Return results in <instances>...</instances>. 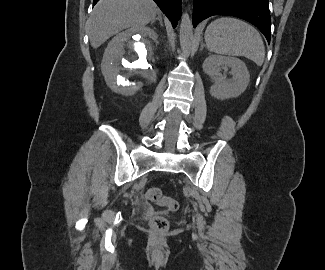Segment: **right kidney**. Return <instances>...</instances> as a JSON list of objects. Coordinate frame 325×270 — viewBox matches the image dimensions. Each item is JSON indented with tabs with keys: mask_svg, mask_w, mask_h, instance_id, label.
Instances as JSON below:
<instances>
[{
	"mask_svg": "<svg viewBox=\"0 0 325 270\" xmlns=\"http://www.w3.org/2000/svg\"><path fill=\"white\" fill-rule=\"evenodd\" d=\"M157 37L150 28L133 27L119 33L109 42L103 55L101 71L107 85L114 92L125 96L133 95L154 79L156 68L151 64L155 48L152 40Z\"/></svg>",
	"mask_w": 325,
	"mask_h": 270,
	"instance_id": "1",
	"label": "right kidney"
}]
</instances>
